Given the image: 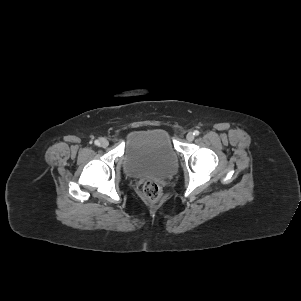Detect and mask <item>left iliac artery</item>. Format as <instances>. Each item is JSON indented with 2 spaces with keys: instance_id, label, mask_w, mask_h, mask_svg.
I'll return each mask as SVG.
<instances>
[{
  "instance_id": "1",
  "label": "left iliac artery",
  "mask_w": 301,
  "mask_h": 301,
  "mask_svg": "<svg viewBox=\"0 0 301 301\" xmlns=\"http://www.w3.org/2000/svg\"><path fill=\"white\" fill-rule=\"evenodd\" d=\"M199 131L198 130H195L194 132H193V134L195 135V136H198L199 135Z\"/></svg>"
}]
</instances>
